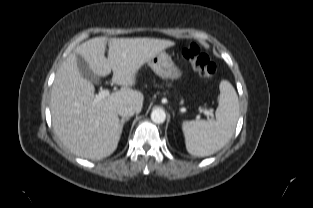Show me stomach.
Instances as JSON below:
<instances>
[{
    "label": "stomach",
    "instance_id": "1",
    "mask_svg": "<svg viewBox=\"0 0 313 208\" xmlns=\"http://www.w3.org/2000/svg\"><path fill=\"white\" fill-rule=\"evenodd\" d=\"M148 65L161 78L169 80H177L181 78L182 72L172 61L166 52H160L152 57Z\"/></svg>",
    "mask_w": 313,
    "mask_h": 208
}]
</instances>
